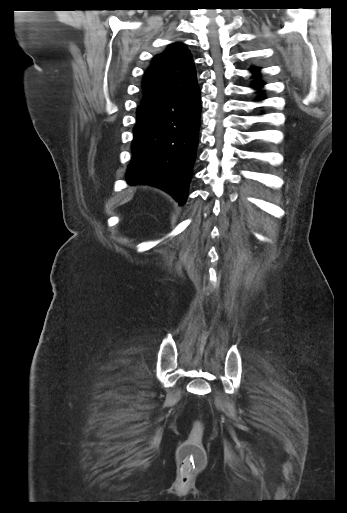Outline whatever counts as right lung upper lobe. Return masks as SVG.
Segmentation results:
<instances>
[{
	"mask_svg": "<svg viewBox=\"0 0 347 513\" xmlns=\"http://www.w3.org/2000/svg\"><path fill=\"white\" fill-rule=\"evenodd\" d=\"M143 100L158 99L196 85V70L189 50L181 42L170 44L153 58L145 72Z\"/></svg>",
	"mask_w": 347,
	"mask_h": 513,
	"instance_id": "obj_1",
	"label": "right lung upper lobe"
}]
</instances>
